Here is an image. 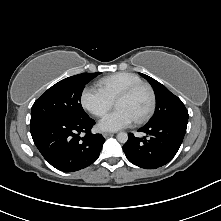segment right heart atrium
Masks as SVG:
<instances>
[{"label":"right heart atrium","mask_w":221,"mask_h":221,"mask_svg":"<svg viewBox=\"0 0 221 221\" xmlns=\"http://www.w3.org/2000/svg\"><path fill=\"white\" fill-rule=\"evenodd\" d=\"M82 107L96 117L104 116L113 106L110 100L100 89L87 86L80 96Z\"/></svg>","instance_id":"d8ad5b80"}]
</instances>
